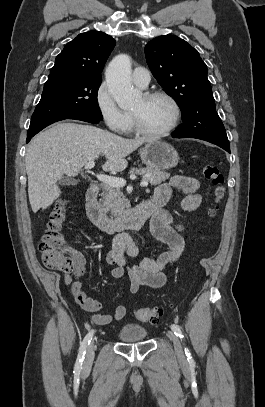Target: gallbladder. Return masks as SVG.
<instances>
[{
    "label": "gallbladder",
    "instance_id": "1",
    "mask_svg": "<svg viewBox=\"0 0 265 407\" xmlns=\"http://www.w3.org/2000/svg\"><path fill=\"white\" fill-rule=\"evenodd\" d=\"M77 183H78V181L76 179L69 178V177H62L59 180V184L63 185V186H65V185H76Z\"/></svg>",
    "mask_w": 265,
    "mask_h": 407
}]
</instances>
